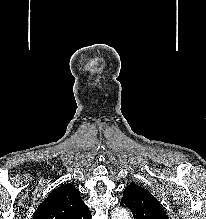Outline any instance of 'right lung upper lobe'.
<instances>
[{"mask_svg": "<svg viewBox=\"0 0 206 219\" xmlns=\"http://www.w3.org/2000/svg\"><path fill=\"white\" fill-rule=\"evenodd\" d=\"M91 212L72 184L55 189L37 208L33 219H90Z\"/></svg>", "mask_w": 206, "mask_h": 219, "instance_id": "cb5924a9", "label": "right lung upper lobe"}]
</instances>
